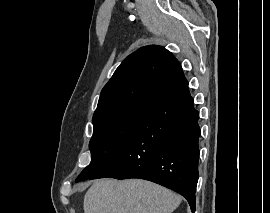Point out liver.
<instances>
[{
  "label": "liver",
  "instance_id": "liver-1",
  "mask_svg": "<svg viewBox=\"0 0 270 213\" xmlns=\"http://www.w3.org/2000/svg\"><path fill=\"white\" fill-rule=\"evenodd\" d=\"M181 197L157 184L130 179L95 182L84 196V213H172Z\"/></svg>",
  "mask_w": 270,
  "mask_h": 213
}]
</instances>
